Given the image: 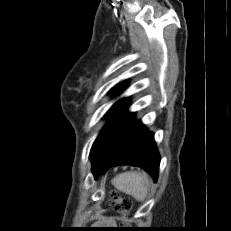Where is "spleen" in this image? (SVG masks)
<instances>
[{
    "mask_svg": "<svg viewBox=\"0 0 231 231\" xmlns=\"http://www.w3.org/2000/svg\"><path fill=\"white\" fill-rule=\"evenodd\" d=\"M151 181L147 175L139 172H125L112 179V184L119 191L133 196L137 201H144Z\"/></svg>",
    "mask_w": 231,
    "mask_h": 231,
    "instance_id": "spleen-1",
    "label": "spleen"
}]
</instances>
